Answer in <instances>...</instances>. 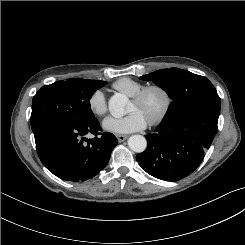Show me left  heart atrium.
<instances>
[{
    "label": "left heart atrium",
    "mask_w": 245,
    "mask_h": 245,
    "mask_svg": "<svg viewBox=\"0 0 245 245\" xmlns=\"http://www.w3.org/2000/svg\"><path fill=\"white\" fill-rule=\"evenodd\" d=\"M146 126L145 118L137 111H132L124 117H107L103 128L114 134H126L140 131Z\"/></svg>",
    "instance_id": "obj_1"
}]
</instances>
